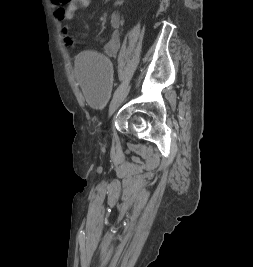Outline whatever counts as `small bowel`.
Here are the masks:
<instances>
[{
    "instance_id": "obj_1",
    "label": "small bowel",
    "mask_w": 253,
    "mask_h": 267,
    "mask_svg": "<svg viewBox=\"0 0 253 267\" xmlns=\"http://www.w3.org/2000/svg\"><path fill=\"white\" fill-rule=\"evenodd\" d=\"M93 0H51L52 8L55 16L63 22L62 37L65 43L69 46H73L74 40L70 32V22L75 16L78 9H87ZM105 3H113L114 5H120L122 0H104ZM110 26L112 33L108 41L103 46V52L110 57H116L119 53L121 46L120 27L122 23V17L119 12H113L110 16ZM66 29V34H63V30Z\"/></svg>"
}]
</instances>
